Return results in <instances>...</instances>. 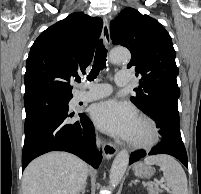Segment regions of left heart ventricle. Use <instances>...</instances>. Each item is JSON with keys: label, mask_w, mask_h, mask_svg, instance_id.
<instances>
[{"label": "left heart ventricle", "mask_w": 201, "mask_h": 194, "mask_svg": "<svg viewBox=\"0 0 201 194\" xmlns=\"http://www.w3.org/2000/svg\"><path fill=\"white\" fill-rule=\"evenodd\" d=\"M147 138H148V131L146 127L138 121L131 140L143 141L146 140Z\"/></svg>", "instance_id": "obj_1"}]
</instances>
